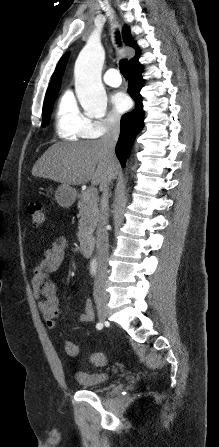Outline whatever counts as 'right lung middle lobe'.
<instances>
[{"label":"right lung middle lobe","instance_id":"1","mask_svg":"<svg viewBox=\"0 0 219 447\" xmlns=\"http://www.w3.org/2000/svg\"><path fill=\"white\" fill-rule=\"evenodd\" d=\"M56 98V95H52L45 99L43 104V124L46 125L49 120V116L52 110L53 102Z\"/></svg>","mask_w":219,"mask_h":447}]
</instances>
